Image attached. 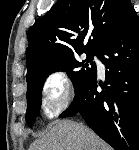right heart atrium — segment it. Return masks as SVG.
<instances>
[{
  "mask_svg": "<svg viewBox=\"0 0 139 150\" xmlns=\"http://www.w3.org/2000/svg\"><path fill=\"white\" fill-rule=\"evenodd\" d=\"M72 101L71 83L62 71L50 73L42 87V110L49 117H56L63 112Z\"/></svg>",
  "mask_w": 139,
  "mask_h": 150,
  "instance_id": "right-heart-atrium-1",
  "label": "right heart atrium"
}]
</instances>
